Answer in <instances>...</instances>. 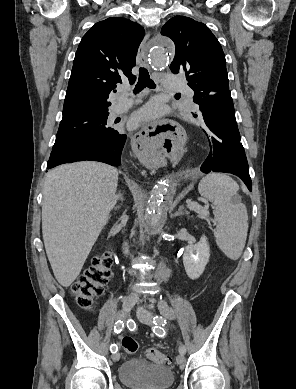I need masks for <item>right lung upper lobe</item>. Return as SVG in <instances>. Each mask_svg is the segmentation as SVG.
<instances>
[{
    "label": "right lung upper lobe",
    "mask_w": 296,
    "mask_h": 389,
    "mask_svg": "<svg viewBox=\"0 0 296 389\" xmlns=\"http://www.w3.org/2000/svg\"><path fill=\"white\" fill-rule=\"evenodd\" d=\"M144 35L139 24L112 17L96 23L83 36L73 62L63 117L108 112L109 93L116 84L135 82L131 70Z\"/></svg>",
    "instance_id": "obj_1"
}]
</instances>
